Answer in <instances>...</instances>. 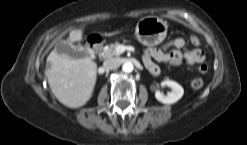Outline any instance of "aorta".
I'll use <instances>...</instances> for the list:
<instances>
[{
  "label": "aorta",
  "instance_id": "obj_1",
  "mask_svg": "<svg viewBox=\"0 0 247 145\" xmlns=\"http://www.w3.org/2000/svg\"><path fill=\"white\" fill-rule=\"evenodd\" d=\"M133 69H134V66H133L132 62H130V61L125 62V63L123 64V66H122V70H123L124 72H126V73L132 72Z\"/></svg>",
  "mask_w": 247,
  "mask_h": 145
}]
</instances>
